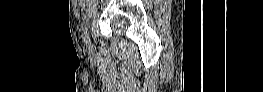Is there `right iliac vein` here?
<instances>
[{
  "label": "right iliac vein",
  "instance_id": "1",
  "mask_svg": "<svg viewBox=\"0 0 263 92\" xmlns=\"http://www.w3.org/2000/svg\"><path fill=\"white\" fill-rule=\"evenodd\" d=\"M86 46L89 47V48L91 47V41H90V39L88 40Z\"/></svg>",
  "mask_w": 263,
  "mask_h": 92
}]
</instances>
